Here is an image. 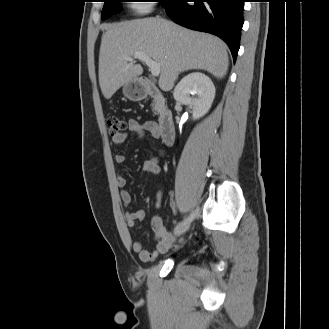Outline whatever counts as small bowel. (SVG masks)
I'll return each instance as SVG.
<instances>
[{
    "label": "small bowel",
    "instance_id": "obj_1",
    "mask_svg": "<svg viewBox=\"0 0 329 329\" xmlns=\"http://www.w3.org/2000/svg\"><path fill=\"white\" fill-rule=\"evenodd\" d=\"M127 127L130 132H134L139 136H142L145 132L149 133L154 138L160 137V129L156 122L154 121H144L141 122L137 119L131 118L127 122ZM128 138L127 132H123L119 135L112 136V141L115 145H123ZM115 161L118 164H124L126 157L123 154H117L115 156ZM143 170L145 172L158 174L161 171L158 158L147 159L143 164ZM126 178L119 174L117 176V185L121 188L120 198L125 206H128L132 202V195L130 191L123 189L126 185ZM163 197V191L161 188L158 189L156 193L155 206L159 207ZM172 209L175 211L174 203H170ZM145 219L144 210H136L132 212H127L125 214V220L129 227H135L137 222L143 221ZM151 227L154 232V239L156 247L154 250H146L143 247L141 241H134L132 248L133 251L139 255V258L143 262H149L154 260L158 255L168 252L171 248H176L177 245L172 240L171 233L166 229L163 224L162 219L159 216H154L151 220Z\"/></svg>",
    "mask_w": 329,
    "mask_h": 329
}]
</instances>
